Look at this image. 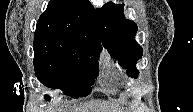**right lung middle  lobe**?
<instances>
[{
  "instance_id": "obj_1",
  "label": "right lung middle lobe",
  "mask_w": 193,
  "mask_h": 112,
  "mask_svg": "<svg viewBox=\"0 0 193 112\" xmlns=\"http://www.w3.org/2000/svg\"><path fill=\"white\" fill-rule=\"evenodd\" d=\"M33 48L34 69L42 84L60 88L73 98L91 93L100 48L66 36H35ZM46 99L49 100V96Z\"/></svg>"
}]
</instances>
